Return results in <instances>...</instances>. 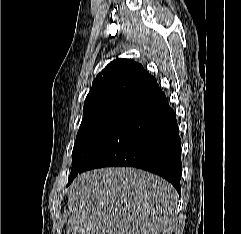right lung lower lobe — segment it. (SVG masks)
I'll use <instances>...</instances> for the list:
<instances>
[{"label": "right lung lower lobe", "mask_w": 241, "mask_h": 234, "mask_svg": "<svg viewBox=\"0 0 241 234\" xmlns=\"http://www.w3.org/2000/svg\"><path fill=\"white\" fill-rule=\"evenodd\" d=\"M110 166L155 173L181 194V139L175 113L161 89L137 104L95 147L79 173Z\"/></svg>", "instance_id": "98d812e1"}]
</instances>
